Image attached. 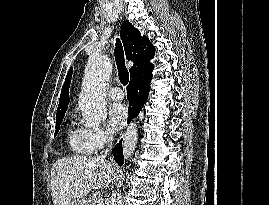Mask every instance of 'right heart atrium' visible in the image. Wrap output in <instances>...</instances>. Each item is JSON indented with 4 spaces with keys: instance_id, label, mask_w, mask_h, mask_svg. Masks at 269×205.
<instances>
[{
    "instance_id": "d8ad5b80",
    "label": "right heart atrium",
    "mask_w": 269,
    "mask_h": 205,
    "mask_svg": "<svg viewBox=\"0 0 269 205\" xmlns=\"http://www.w3.org/2000/svg\"><path fill=\"white\" fill-rule=\"evenodd\" d=\"M85 143L92 151H97L109 144L113 137L104 129H82Z\"/></svg>"
}]
</instances>
